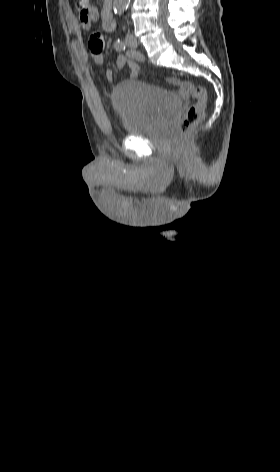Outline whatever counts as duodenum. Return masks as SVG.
Masks as SVG:
<instances>
[{
    "instance_id": "410a0bca",
    "label": "duodenum",
    "mask_w": 280,
    "mask_h": 472,
    "mask_svg": "<svg viewBox=\"0 0 280 472\" xmlns=\"http://www.w3.org/2000/svg\"><path fill=\"white\" fill-rule=\"evenodd\" d=\"M102 24L103 28L107 31H113L116 28V22L109 4H107L103 10Z\"/></svg>"
}]
</instances>
